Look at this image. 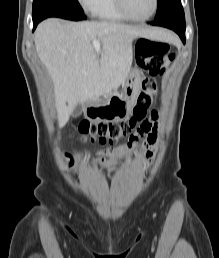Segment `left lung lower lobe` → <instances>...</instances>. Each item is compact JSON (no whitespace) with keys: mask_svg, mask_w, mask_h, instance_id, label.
<instances>
[{"mask_svg":"<svg viewBox=\"0 0 219 258\" xmlns=\"http://www.w3.org/2000/svg\"><path fill=\"white\" fill-rule=\"evenodd\" d=\"M150 24L166 27L175 31L180 36L182 42L185 44V17H168L161 20H154Z\"/></svg>","mask_w":219,"mask_h":258,"instance_id":"0a47b994","label":"left lung lower lobe"}]
</instances>
